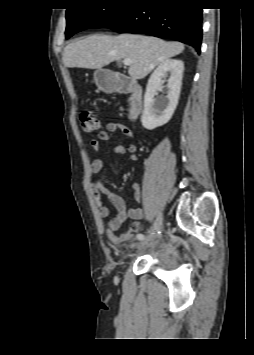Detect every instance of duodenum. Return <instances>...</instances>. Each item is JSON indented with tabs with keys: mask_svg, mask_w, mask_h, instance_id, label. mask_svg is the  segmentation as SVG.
Listing matches in <instances>:
<instances>
[{
	"mask_svg": "<svg viewBox=\"0 0 254 355\" xmlns=\"http://www.w3.org/2000/svg\"><path fill=\"white\" fill-rule=\"evenodd\" d=\"M102 87L112 92L127 93L129 95L127 118L130 122L138 118L143 105V90L141 85L124 75H120L106 80Z\"/></svg>",
	"mask_w": 254,
	"mask_h": 355,
	"instance_id": "410a0bca",
	"label": "duodenum"
}]
</instances>
